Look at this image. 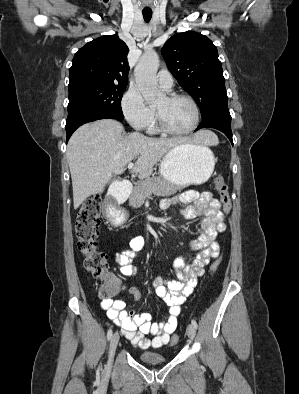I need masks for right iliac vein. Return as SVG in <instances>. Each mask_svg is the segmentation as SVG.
<instances>
[{"mask_svg": "<svg viewBox=\"0 0 299 394\" xmlns=\"http://www.w3.org/2000/svg\"><path fill=\"white\" fill-rule=\"evenodd\" d=\"M119 342V334L118 332H115L113 336L111 337L110 341V349H109V360L107 366L110 368L113 362V357L117 348Z\"/></svg>", "mask_w": 299, "mask_h": 394, "instance_id": "right-iliac-vein-1", "label": "right iliac vein"}]
</instances>
